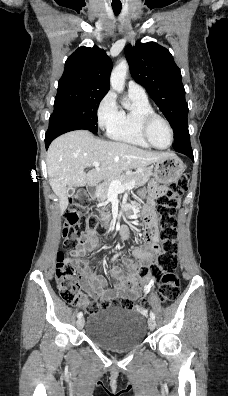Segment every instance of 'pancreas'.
I'll return each mask as SVG.
<instances>
[{
  "label": "pancreas",
  "instance_id": "pancreas-1",
  "mask_svg": "<svg viewBox=\"0 0 228 396\" xmlns=\"http://www.w3.org/2000/svg\"><path fill=\"white\" fill-rule=\"evenodd\" d=\"M150 177V172L149 168H145L140 172H133L129 174H123L117 176L115 179L119 180L122 184L134 181L135 182V187H139L144 185L146 182H148ZM115 179H108L104 181L101 185L98 186L97 189V200L104 202L110 194L111 191V182ZM102 219H107L109 218L110 214L101 212Z\"/></svg>",
  "mask_w": 228,
  "mask_h": 396
}]
</instances>
